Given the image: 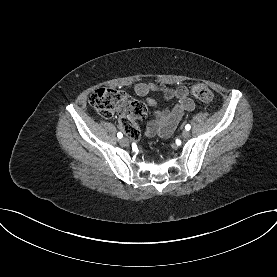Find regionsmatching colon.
<instances>
[{"label":"colon","instance_id":"colon-1","mask_svg":"<svg viewBox=\"0 0 277 277\" xmlns=\"http://www.w3.org/2000/svg\"><path fill=\"white\" fill-rule=\"evenodd\" d=\"M191 93L195 98L205 102L212 98L211 90L204 84L192 86ZM89 103L104 118L120 111L121 126L130 137L138 133L136 120L144 118L147 113L145 104L129 99L124 92L113 88L96 89L90 94Z\"/></svg>","mask_w":277,"mask_h":277}]
</instances>
